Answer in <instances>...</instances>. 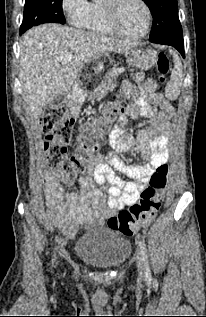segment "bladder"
Instances as JSON below:
<instances>
[{"label": "bladder", "instance_id": "1", "mask_svg": "<svg viewBox=\"0 0 206 317\" xmlns=\"http://www.w3.org/2000/svg\"><path fill=\"white\" fill-rule=\"evenodd\" d=\"M129 240L102 227L85 231L75 246L76 256L94 269L110 270L123 263L130 255Z\"/></svg>", "mask_w": 206, "mask_h": 317}]
</instances>
